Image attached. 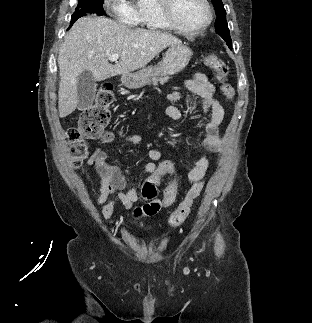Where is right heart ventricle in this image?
<instances>
[{
	"mask_svg": "<svg viewBox=\"0 0 312 323\" xmlns=\"http://www.w3.org/2000/svg\"><path fill=\"white\" fill-rule=\"evenodd\" d=\"M132 14L136 16V25L142 29H170L168 18H164V9H158L157 5H139Z\"/></svg>",
	"mask_w": 312,
	"mask_h": 323,
	"instance_id": "1",
	"label": "right heart ventricle"
}]
</instances>
